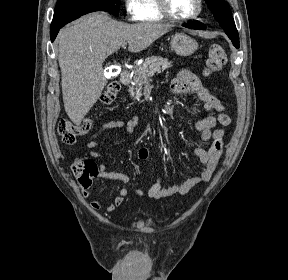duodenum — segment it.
I'll return each mask as SVG.
<instances>
[{
	"mask_svg": "<svg viewBox=\"0 0 288 280\" xmlns=\"http://www.w3.org/2000/svg\"><path fill=\"white\" fill-rule=\"evenodd\" d=\"M120 80H121L122 84L128 85L131 81V72L128 69H124L121 72Z\"/></svg>",
	"mask_w": 288,
	"mask_h": 280,
	"instance_id": "duodenum-1",
	"label": "duodenum"
}]
</instances>
